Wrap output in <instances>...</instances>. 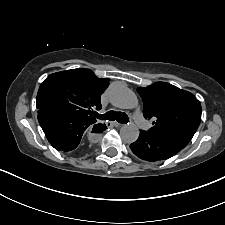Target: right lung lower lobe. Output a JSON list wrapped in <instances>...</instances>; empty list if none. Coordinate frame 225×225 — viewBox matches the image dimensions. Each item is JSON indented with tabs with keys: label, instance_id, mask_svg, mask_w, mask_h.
Returning a JSON list of instances; mask_svg holds the SVG:
<instances>
[{
	"label": "right lung lower lobe",
	"instance_id": "right-lung-lower-lobe-1",
	"mask_svg": "<svg viewBox=\"0 0 225 225\" xmlns=\"http://www.w3.org/2000/svg\"><path fill=\"white\" fill-rule=\"evenodd\" d=\"M38 121L56 150L76 155L86 151L83 136L87 132L100 133L106 129V126L90 125L85 119L52 110H38Z\"/></svg>",
	"mask_w": 225,
	"mask_h": 225
}]
</instances>
